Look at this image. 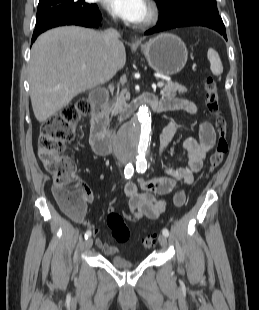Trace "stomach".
<instances>
[{"instance_id":"stomach-1","label":"stomach","mask_w":259,"mask_h":310,"mask_svg":"<svg viewBox=\"0 0 259 310\" xmlns=\"http://www.w3.org/2000/svg\"><path fill=\"white\" fill-rule=\"evenodd\" d=\"M150 67L164 75H175L185 66L188 51L176 35L163 33L141 46Z\"/></svg>"}]
</instances>
